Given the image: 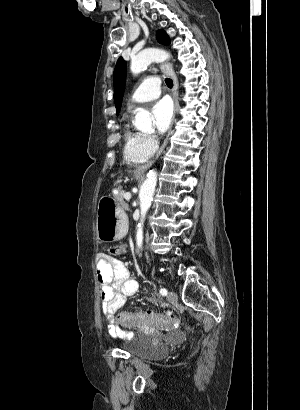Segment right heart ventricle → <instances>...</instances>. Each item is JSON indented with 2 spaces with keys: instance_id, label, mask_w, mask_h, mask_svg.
I'll use <instances>...</instances> for the list:
<instances>
[{
  "instance_id": "right-heart-ventricle-1",
  "label": "right heart ventricle",
  "mask_w": 300,
  "mask_h": 410,
  "mask_svg": "<svg viewBox=\"0 0 300 410\" xmlns=\"http://www.w3.org/2000/svg\"><path fill=\"white\" fill-rule=\"evenodd\" d=\"M123 158L128 164L146 161L152 153L146 151L142 145V134L132 131L128 126L123 132Z\"/></svg>"
}]
</instances>
